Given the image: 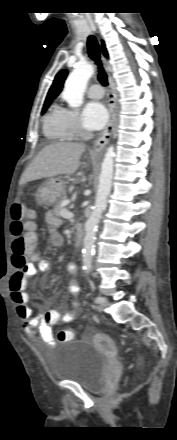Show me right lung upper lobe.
I'll return each mask as SVG.
<instances>
[{
	"label": "right lung upper lobe",
	"mask_w": 177,
	"mask_h": 440,
	"mask_svg": "<svg viewBox=\"0 0 177 440\" xmlns=\"http://www.w3.org/2000/svg\"><path fill=\"white\" fill-rule=\"evenodd\" d=\"M102 51H103L104 56L108 57V53L106 51V48H105V45L103 42H102ZM66 76H67V70H62L56 75V77L53 81V84L47 94L45 103H47V102L51 103V101L59 95V93L62 90L63 83L66 79Z\"/></svg>",
	"instance_id": "cb5924a9"
}]
</instances>
